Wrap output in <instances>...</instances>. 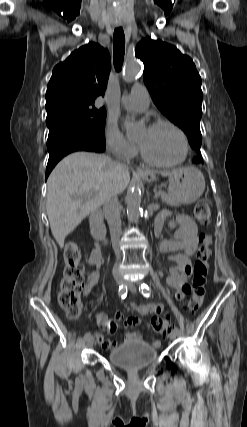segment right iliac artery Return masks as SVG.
Instances as JSON below:
<instances>
[{"mask_svg":"<svg viewBox=\"0 0 247 427\" xmlns=\"http://www.w3.org/2000/svg\"><path fill=\"white\" fill-rule=\"evenodd\" d=\"M118 294H119V296H120L122 299H124V298L127 296V287H125V286L121 285V286L119 287ZM90 336H91L90 332H87V333L84 335V340H86V341H87V339H88Z\"/></svg>","mask_w":247,"mask_h":427,"instance_id":"obj_1","label":"right iliac artery"}]
</instances>
